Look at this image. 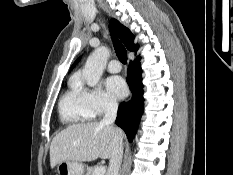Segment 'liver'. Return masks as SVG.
Wrapping results in <instances>:
<instances>
[{
	"mask_svg": "<svg viewBox=\"0 0 233 175\" xmlns=\"http://www.w3.org/2000/svg\"><path fill=\"white\" fill-rule=\"evenodd\" d=\"M123 140L120 129L101 122L79 123L59 132L50 145V165L53 169L64 161L90 162L111 158L115 137Z\"/></svg>",
	"mask_w": 233,
	"mask_h": 175,
	"instance_id": "liver-1",
	"label": "liver"
}]
</instances>
